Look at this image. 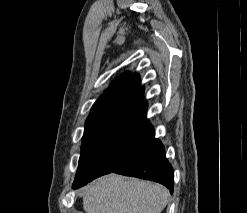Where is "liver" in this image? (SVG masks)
Masks as SVG:
<instances>
[{"mask_svg": "<svg viewBox=\"0 0 247 213\" xmlns=\"http://www.w3.org/2000/svg\"><path fill=\"white\" fill-rule=\"evenodd\" d=\"M169 191L160 184L110 174L85 188L86 213H161Z\"/></svg>", "mask_w": 247, "mask_h": 213, "instance_id": "obj_1", "label": "liver"}]
</instances>
